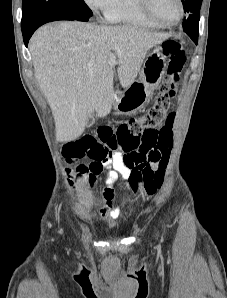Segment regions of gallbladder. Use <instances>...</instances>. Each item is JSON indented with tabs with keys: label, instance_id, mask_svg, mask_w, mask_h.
Masks as SVG:
<instances>
[{
	"label": "gallbladder",
	"instance_id": "obj_1",
	"mask_svg": "<svg viewBox=\"0 0 227 298\" xmlns=\"http://www.w3.org/2000/svg\"><path fill=\"white\" fill-rule=\"evenodd\" d=\"M94 123V117L92 116H88L87 122H86V126L90 127L92 124Z\"/></svg>",
	"mask_w": 227,
	"mask_h": 298
}]
</instances>
